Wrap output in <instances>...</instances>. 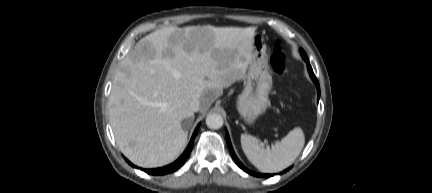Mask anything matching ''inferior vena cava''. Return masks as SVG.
Returning <instances> with one entry per match:
<instances>
[{
  "label": "inferior vena cava",
  "mask_w": 432,
  "mask_h": 193,
  "mask_svg": "<svg viewBox=\"0 0 432 193\" xmlns=\"http://www.w3.org/2000/svg\"><path fill=\"white\" fill-rule=\"evenodd\" d=\"M200 106H201V102H200V99H199V98L195 97V98H193V99L191 100V102H190V109H191L193 112H197V111H199V110H200Z\"/></svg>",
  "instance_id": "1"
}]
</instances>
